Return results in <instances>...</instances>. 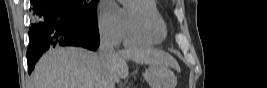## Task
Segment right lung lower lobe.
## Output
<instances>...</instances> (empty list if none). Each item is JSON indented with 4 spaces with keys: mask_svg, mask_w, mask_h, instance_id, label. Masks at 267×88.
Wrapping results in <instances>:
<instances>
[{
    "mask_svg": "<svg viewBox=\"0 0 267 88\" xmlns=\"http://www.w3.org/2000/svg\"><path fill=\"white\" fill-rule=\"evenodd\" d=\"M32 4L35 18L29 30V72L40 54L52 47L73 45L96 50L99 46L97 21L78 15L58 0H32Z\"/></svg>",
    "mask_w": 267,
    "mask_h": 88,
    "instance_id": "1",
    "label": "right lung lower lobe"
}]
</instances>
